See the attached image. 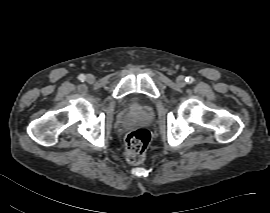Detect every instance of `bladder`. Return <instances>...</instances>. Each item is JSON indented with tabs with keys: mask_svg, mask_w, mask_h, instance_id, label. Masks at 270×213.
Returning a JSON list of instances; mask_svg holds the SVG:
<instances>
[{
	"mask_svg": "<svg viewBox=\"0 0 270 213\" xmlns=\"http://www.w3.org/2000/svg\"><path fill=\"white\" fill-rule=\"evenodd\" d=\"M124 107L126 109L132 110L138 107V102L136 96H129L124 100Z\"/></svg>",
	"mask_w": 270,
	"mask_h": 213,
	"instance_id": "obj_1",
	"label": "bladder"
}]
</instances>
